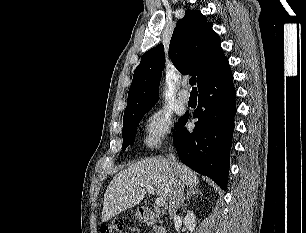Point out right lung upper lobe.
<instances>
[{
	"mask_svg": "<svg viewBox=\"0 0 306 233\" xmlns=\"http://www.w3.org/2000/svg\"><path fill=\"white\" fill-rule=\"evenodd\" d=\"M212 25L200 11L187 10L177 22L169 45L172 63L181 73L197 76L198 89L230 68ZM164 60L163 44L142 55L134 71L124 117L157 102Z\"/></svg>",
	"mask_w": 306,
	"mask_h": 233,
	"instance_id": "1",
	"label": "right lung upper lobe"
}]
</instances>
